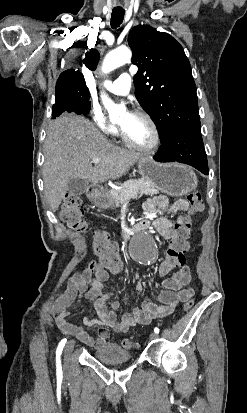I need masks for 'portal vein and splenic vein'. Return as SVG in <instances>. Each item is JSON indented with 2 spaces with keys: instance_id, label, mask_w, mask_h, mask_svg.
Here are the masks:
<instances>
[{
  "instance_id": "1",
  "label": "portal vein and splenic vein",
  "mask_w": 247,
  "mask_h": 413,
  "mask_svg": "<svg viewBox=\"0 0 247 413\" xmlns=\"http://www.w3.org/2000/svg\"><path fill=\"white\" fill-rule=\"evenodd\" d=\"M101 158H92L91 162H94V164H99Z\"/></svg>"
}]
</instances>
